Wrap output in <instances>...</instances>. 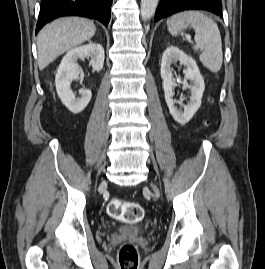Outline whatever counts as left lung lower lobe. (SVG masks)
<instances>
[{"label":"left lung lower lobe","instance_id":"obj_1","mask_svg":"<svg viewBox=\"0 0 265 269\" xmlns=\"http://www.w3.org/2000/svg\"><path fill=\"white\" fill-rule=\"evenodd\" d=\"M184 10H206L222 16L221 0H160L155 21Z\"/></svg>","mask_w":265,"mask_h":269}]
</instances>
